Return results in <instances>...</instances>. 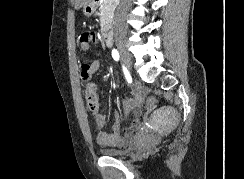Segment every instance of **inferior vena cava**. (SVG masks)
<instances>
[{"instance_id":"1","label":"inferior vena cava","mask_w":244,"mask_h":179,"mask_svg":"<svg viewBox=\"0 0 244 179\" xmlns=\"http://www.w3.org/2000/svg\"><path fill=\"white\" fill-rule=\"evenodd\" d=\"M114 30H115V34H118V32H122L123 28H122L121 24H119V22H115Z\"/></svg>"}]
</instances>
